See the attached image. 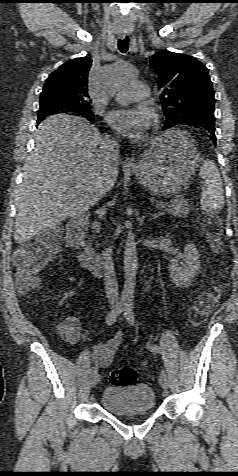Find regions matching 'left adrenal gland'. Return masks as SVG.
Instances as JSON below:
<instances>
[{"instance_id":"a2214340","label":"left adrenal gland","mask_w":238,"mask_h":476,"mask_svg":"<svg viewBox=\"0 0 238 476\" xmlns=\"http://www.w3.org/2000/svg\"><path fill=\"white\" fill-rule=\"evenodd\" d=\"M161 215H162L161 212L155 213V214L152 215L151 219H156L157 217H159Z\"/></svg>"}]
</instances>
